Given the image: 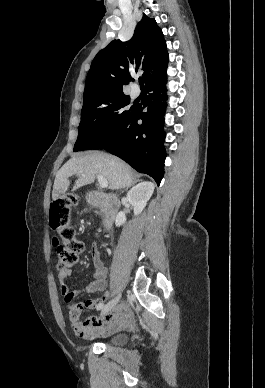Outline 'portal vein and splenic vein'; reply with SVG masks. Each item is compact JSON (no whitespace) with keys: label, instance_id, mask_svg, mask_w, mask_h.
I'll use <instances>...</instances> for the list:
<instances>
[{"label":"portal vein and splenic vein","instance_id":"18ae733b","mask_svg":"<svg viewBox=\"0 0 265 388\" xmlns=\"http://www.w3.org/2000/svg\"><path fill=\"white\" fill-rule=\"evenodd\" d=\"M81 176H82V174H81ZM97 180L100 184V188H108V182H107V180H105V178H103V176H100V174H99V176H97Z\"/></svg>","mask_w":265,"mask_h":388}]
</instances>
